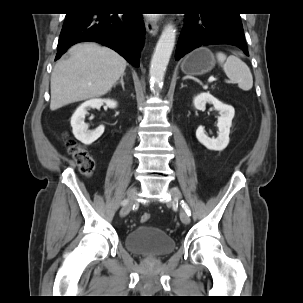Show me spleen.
<instances>
[{
  "label": "spleen",
  "mask_w": 303,
  "mask_h": 303,
  "mask_svg": "<svg viewBox=\"0 0 303 303\" xmlns=\"http://www.w3.org/2000/svg\"><path fill=\"white\" fill-rule=\"evenodd\" d=\"M217 61L222 66L227 77L239 88L249 91L253 87V77L249 67L240 58L230 55L227 57L224 53L216 54Z\"/></svg>",
  "instance_id": "spleen-1"
}]
</instances>
